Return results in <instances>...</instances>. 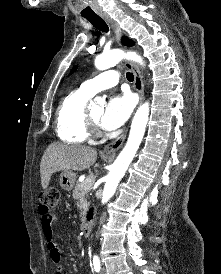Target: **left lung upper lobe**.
Segmentation results:
<instances>
[{"label":"left lung upper lobe","mask_w":221,"mask_h":274,"mask_svg":"<svg viewBox=\"0 0 221 274\" xmlns=\"http://www.w3.org/2000/svg\"><path fill=\"white\" fill-rule=\"evenodd\" d=\"M122 42H123L125 45H127V46H132V45L134 44L133 41L129 40V39L126 38V37H123ZM73 71H74V70H73ZM73 71H71V73H72Z\"/></svg>","instance_id":"left-lung-upper-lobe-1"}]
</instances>
